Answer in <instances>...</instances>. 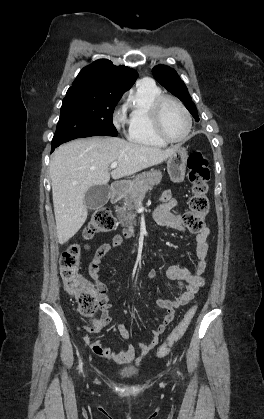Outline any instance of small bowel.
I'll return each mask as SVG.
<instances>
[{"label":"small bowel","mask_w":264,"mask_h":419,"mask_svg":"<svg viewBox=\"0 0 264 419\" xmlns=\"http://www.w3.org/2000/svg\"><path fill=\"white\" fill-rule=\"evenodd\" d=\"M161 204L154 211L155 221L165 227H170L180 231H186L187 228L182 219L173 213L171 209L176 205V200L169 191H164L161 196ZM209 228L203 227L195 236L196 251L195 255L198 262L193 270L181 265H172L167 268L165 275L168 279L176 280L178 284V293L175 299H159L157 305L165 311L162 319H158V325L152 330L151 338L146 343L130 344L127 348L120 351H113L100 341H92L90 334L84 336V342L89 345L91 350L99 357L111 360L112 362L124 365L134 362L140 364L143 358L153 350L159 343L160 336L164 333L166 326L172 322L175 317L176 309L186 305L193 298L198 289L204 284L203 274L208 268L209 255ZM124 239L120 235H115L108 243L102 244L96 251L94 258L88 266V274L95 284L96 293L102 302V314L99 319L95 320V328L93 332L98 333L105 327L113 325L120 335L128 340L130 338L129 330L120 323H114L109 310L111 303L108 297V288L101 282L99 277V269L101 259L111 249L120 247ZM156 271L149 272V278L155 279Z\"/></svg>","instance_id":"small-bowel-1"}]
</instances>
